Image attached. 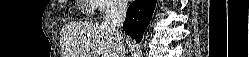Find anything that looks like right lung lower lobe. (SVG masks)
<instances>
[{
    "instance_id": "1",
    "label": "right lung lower lobe",
    "mask_w": 249,
    "mask_h": 57,
    "mask_svg": "<svg viewBox=\"0 0 249 57\" xmlns=\"http://www.w3.org/2000/svg\"><path fill=\"white\" fill-rule=\"evenodd\" d=\"M156 6V0L134 1L127 10L123 24L125 32L140 42Z\"/></svg>"
}]
</instances>
